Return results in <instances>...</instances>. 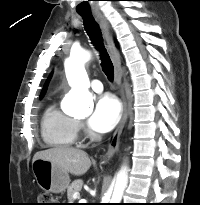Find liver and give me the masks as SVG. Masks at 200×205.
I'll return each mask as SVG.
<instances>
[{
	"label": "liver",
	"instance_id": "obj_1",
	"mask_svg": "<svg viewBox=\"0 0 200 205\" xmlns=\"http://www.w3.org/2000/svg\"><path fill=\"white\" fill-rule=\"evenodd\" d=\"M37 159L51 161L75 176L85 174L91 166L86 152L63 146L39 151L34 155L33 161Z\"/></svg>",
	"mask_w": 200,
	"mask_h": 205
}]
</instances>
